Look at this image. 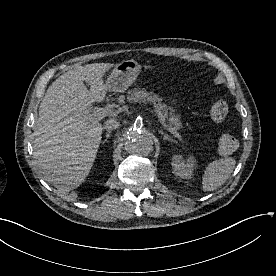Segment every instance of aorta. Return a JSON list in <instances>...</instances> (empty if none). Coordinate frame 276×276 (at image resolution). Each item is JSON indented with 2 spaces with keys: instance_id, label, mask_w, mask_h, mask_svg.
<instances>
[{
  "instance_id": "762f6f07",
  "label": "aorta",
  "mask_w": 276,
  "mask_h": 276,
  "mask_svg": "<svg viewBox=\"0 0 276 276\" xmlns=\"http://www.w3.org/2000/svg\"><path fill=\"white\" fill-rule=\"evenodd\" d=\"M153 138L137 128H131L127 132L125 149L128 153L137 156H146L153 150Z\"/></svg>"
}]
</instances>
